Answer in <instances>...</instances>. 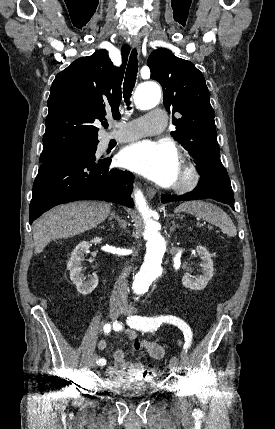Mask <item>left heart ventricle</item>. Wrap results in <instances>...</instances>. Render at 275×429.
I'll use <instances>...</instances> for the list:
<instances>
[{
    "instance_id": "left-heart-ventricle-1",
    "label": "left heart ventricle",
    "mask_w": 275,
    "mask_h": 429,
    "mask_svg": "<svg viewBox=\"0 0 275 429\" xmlns=\"http://www.w3.org/2000/svg\"><path fill=\"white\" fill-rule=\"evenodd\" d=\"M180 173H181V170H180V167H179V171H178V177H177V179L179 178Z\"/></svg>"
}]
</instances>
